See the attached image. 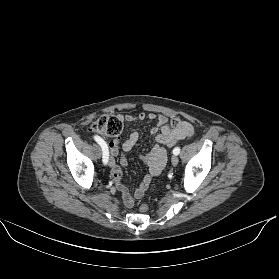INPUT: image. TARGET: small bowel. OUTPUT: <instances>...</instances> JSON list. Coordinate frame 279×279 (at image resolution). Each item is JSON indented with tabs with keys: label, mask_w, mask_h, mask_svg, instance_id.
Masks as SVG:
<instances>
[{
	"label": "small bowel",
	"mask_w": 279,
	"mask_h": 279,
	"mask_svg": "<svg viewBox=\"0 0 279 279\" xmlns=\"http://www.w3.org/2000/svg\"><path fill=\"white\" fill-rule=\"evenodd\" d=\"M156 121V126L151 129V134L155 135L156 144L152 151L145 153L141 159L147 164L149 173L145 175L140 185L134 189L131 194L123 184L122 168L127 165V158L124 153L120 154V141L117 138H112L109 142L110 153L113 156H119V165H114L111 170V177L116 188L122 193L123 203L126 207H131L135 199L143 196L144 192L149 187L152 179L160 174L167 162V152L165 145L170 138H178L180 140L194 135L193 126L185 120L179 118L169 119L167 116L158 113L140 112L136 115L125 114L121 117L122 121L135 122L144 119ZM139 133L133 132L128 139L122 144L123 152H129L137 143Z\"/></svg>",
	"instance_id": "1"
}]
</instances>
